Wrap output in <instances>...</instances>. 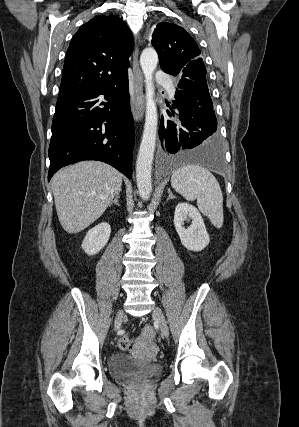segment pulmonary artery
I'll return each mask as SVG.
<instances>
[{
    "label": "pulmonary artery",
    "instance_id": "pulmonary-artery-1",
    "mask_svg": "<svg viewBox=\"0 0 299 427\" xmlns=\"http://www.w3.org/2000/svg\"><path fill=\"white\" fill-rule=\"evenodd\" d=\"M156 80L158 83L163 84L168 92V95L172 98L175 95V87L172 83V81L162 72L157 71L156 72Z\"/></svg>",
    "mask_w": 299,
    "mask_h": 427
}]
</instances>
